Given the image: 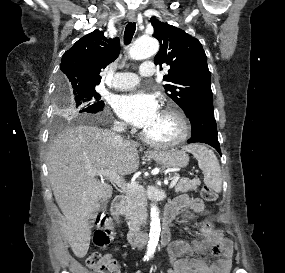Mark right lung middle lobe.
Instances as JSON below:
<instances>
[{"instance_id": "dd1d6c3e", "label": "right lung middle lobe", "mask_w": 285, "mask_h": 273, "mask_svg": "<svg viewBox=\"0 0 285 273\" xmlns=\"http://www.w3.org/2000/svg\"><path fill=\"white\" fill-rule=\"evenodd\" d=\"M95 88L70 90L67 83L60 78L57 94L58 119H76L87 113H96L103 109L104 103Z\"/></svg>"}]
</instances>
